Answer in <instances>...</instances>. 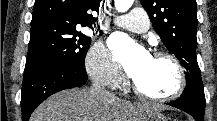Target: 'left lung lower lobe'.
<instances>
[{"instance_id":"1","label":"left lung lower lobe","mask_w":217,"mask_h":121,"mask_svg":"<svg viewBox=\"0 0 217 121\" xmlns=\"http://www.w3.org/2000/svg\"><path fill=\"white\" fill-rule=\"evenodd\" d=\"M167 104L189 113L196 121H203L205 96L203 91L192 83L186 84L184 92L177 100Z\"/></svg>"}]
</instances>
